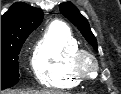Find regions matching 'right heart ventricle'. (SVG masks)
Here are the masks:
<instances>
[{
  "label": "right heart ventricle",
  "mask_w": 121,
  "mask_h": 94,
  "mask_svg": "<svg viewBox=\"0 0 121 94\" xmlns=\"http://www.w3.org/2000/svg\"><path fill=\"white\" fill-rule=\"evenodd\" d=\"M80 49L79 41L65 23H51L33 48L31 68L35 78L48 88L76 86L79 77L73 70V57Z\"/></svg>",
  "instance_id": "1"
}]
</instances>
